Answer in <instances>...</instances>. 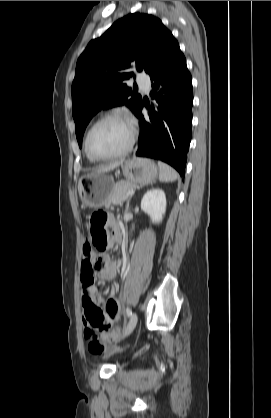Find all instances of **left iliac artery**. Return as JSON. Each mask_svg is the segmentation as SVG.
<instances>
[{"label":"left iliac artery","mask_w":271,"mask_h":418,"mask_svg":"<svg viewBox=\"0 0 271 418\" xmlns=\"http://www.w3.org/2000/svg\"><path fill=\"white\" fill-rule=\"evenodd\" d=\"M126 313H127V316H128V317H130V316H131L132 312H131V310H130V308H129V307H127V308H126Z\"/></svg>","instance_id":"left-iliac-artery-1"}]
</instances>
